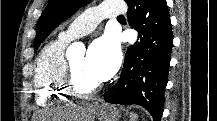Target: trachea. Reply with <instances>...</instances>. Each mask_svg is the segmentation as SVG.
<instances>
[{"label":"trachea","instance_id":"obj_1","mask_svg":"<svg viewBox=\"0 0 217 121\" xmlns=\"http://www.w3.org/2000/svg\"><path fill=\"white\" fill-rule=\"evenodd\" d=\"M123 17H124V16H122V15L120 16V18H123Z\"/></svg>","mask_w":217,"mask_h":121}]
</instances>
